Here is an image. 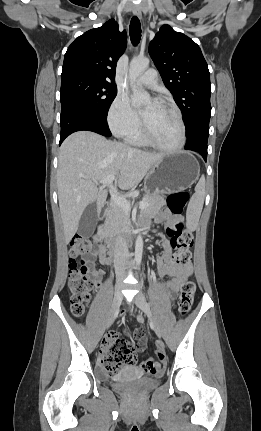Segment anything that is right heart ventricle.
I'll use <instances>...</instances> for the list:
<instances>
[{
    "label": "right heart ventricle",
    "mask_w": 261,
    "mask_h": 431,
    "mask_svg": "<svg viewBox=\"0 0 261 431\" xmlns=\"http://www.w3.org/2000/svg\"><path fill=\"white\" fill-rule=\"evenodd\" d=\"M129 140L131 143H133L135 145H139V146H143V145L147 144V142L145 141V139H144V137L140 131H137L134 134L130 135Z\"/></svg>",
    "instance_id": "1"
}]
</instances>
